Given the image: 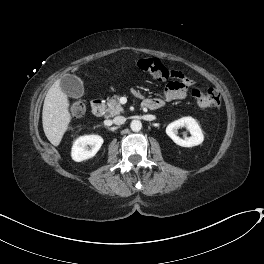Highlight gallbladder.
Segmentation results:
<instances>
[{
  "instance_id": "obj_1",
  "label": "gallbladder",
  "mask_w": 264,
  "mask_h": 264,
  "mask_svg": "<svg viewBox=\"0 0 264 264\" xmlns=\"http://www.w3.org/2000/svg\"><path fill=\"white\" fill-rule=\"evenodd\" d=\"M62 90L72 98H80L84 94V85L75 75H66L61 79Z\"/></svg>"
}]
</instances>
